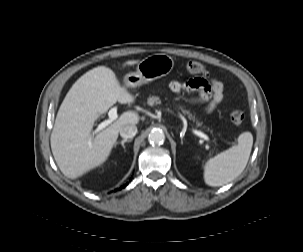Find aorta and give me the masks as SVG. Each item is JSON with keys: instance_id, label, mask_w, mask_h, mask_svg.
I'll use <instances>...</instances> for the list:
<instances>
[{"instance_id": "obj_1", "label": "aorta", "mask_w": 303, "mask_h": 252, "mask_svg": "<svg viewBox=\"0 0 303 252\" xmlns=\"http://www.w3.org/2000/svg\"><path fill=\"white\" fill-rule=\"evenodd\" d=\"M148 141L151 144H163L165 141V135L162 130L154 129L149 133Z\"/></svg>"}]
</instances>
